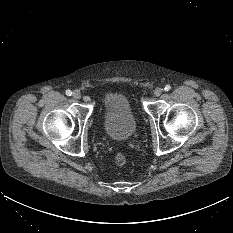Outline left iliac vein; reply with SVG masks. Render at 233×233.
<instances>
[{
    "mask_svg": "<svg viewBox=\"0 0 233 233\" xmlns=\"http://www.w3.org/2000/svg\"><path fill=\"white\" fill-rule=\"evenodd\" d=\"M162 92H163V89L158 87L154 90V95L158 97L162 94Z\"/></svg>",
    "mask_w": 233,
    "mask_h": 233,
    "instance_id": "obj_1",
    "label": "left iliac vein"
}]
</instances>
